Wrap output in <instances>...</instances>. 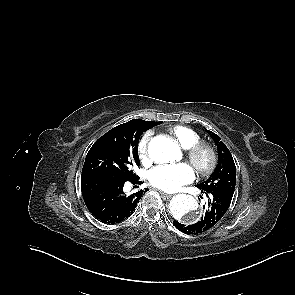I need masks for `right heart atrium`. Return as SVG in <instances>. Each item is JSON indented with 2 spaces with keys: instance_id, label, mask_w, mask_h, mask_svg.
Wrapping results in <instances>:
<instances>
[{
  "instance_id": "d8ad5b80",
  "label": "right heart atrium",
  "mask_w": 295,
  "mask_h": 295,
  "mask_svg": "<svg viewBox=\"0 0 295 295\" xmlns=\"http://www.w3.org/2000/svg\"><path fill=\"white\" fill-rule=\"evenodd\" d=\"M150 140V135L146 134L138 144V155L144 164H150L152 162V156L149 151Z\"/></svg>"
}]
</instances>
